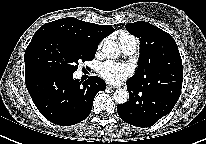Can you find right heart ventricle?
I'll list each match as a JSON object with an SVG mask.
<instances>
[{"label": "right heart ventricle", "instance_id": "obj_1", "mask_svg": "<svg viewBox=\"0 0 206 144\" xmlns=\"http://www.w3.org/2000/svg\"><path fill=\"white\" fill-rule=\"evenodd\" d=\"M133 38L131 35H129L128 33H120L119 34V40L122 43H124L125 41H127L128 39Z\"/></svg>", "mask_w": 206, "mask_h": 144}]
</instances>
